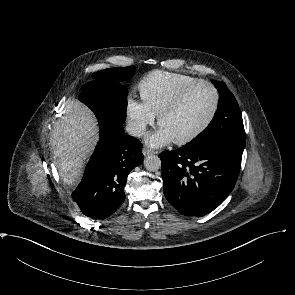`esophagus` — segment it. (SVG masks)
<instances>
[{"label": "esophagus", "mask_w": 295, "mask_h": 295, "mask_svg": "<svg viewBox=\"0 0 295 295\" xmlns=\"http://www.w3.org/2000/svg\"><path fill=\"white\" fill-rule=\"evenodd\" d=\"M142 153L144 156H147V155H151V154H156L157 151L149 149V148H143Z\"/></svg>", "instance_id": "obj_1"}]
</instances>
